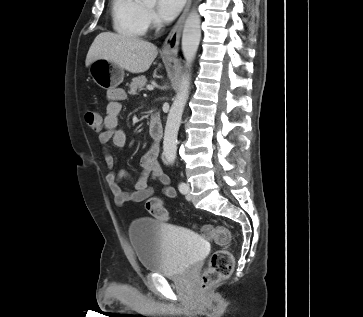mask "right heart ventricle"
I'll return each mask as SVG.
<instances>
[{
    "label": "right heart ventricle",
    "instance_id": "1",
    "mask_svg": "<svg viewBox=\"0 0 363 317\" xmlns=\"http://www.w3.org/2000/svg\"><path fill=\"white\" fill-rule=\"evenodd\" d=\"M111 9L113 27L118 34L141 38L147 33L148 14L141 0H112Z\"/></svg>",
    "mask_w": 363,
    "mask_h": 317
}]
</instances>
